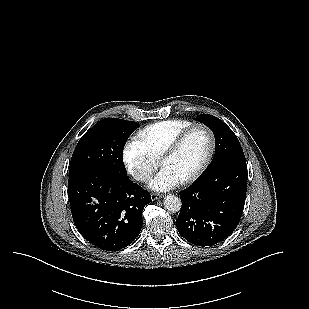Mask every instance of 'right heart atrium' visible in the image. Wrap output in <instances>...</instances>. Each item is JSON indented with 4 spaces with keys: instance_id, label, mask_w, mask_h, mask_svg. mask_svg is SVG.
<instances>
[{
    "instance_id": "right-heart-atrium-1",
    "label": "right heart atrium",
    "mask_w": 309,
    "mask_h": 309,
    "mask_svg": "<svg viewBox=\"0 0 309 309\" xmlns=\"http://www.w3.org/2000/svg\"><path fill=\"white\" fill-rule=\"evenodd\" d=\"M123 160L130 175L139 182H146L158 167V159L137 141H130L124 146Z\"/></svg>"
}]
</instances>
